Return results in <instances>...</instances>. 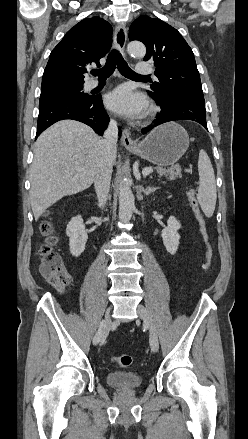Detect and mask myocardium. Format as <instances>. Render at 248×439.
Masks as SVG:
<instances>
[{
  "label": "myocardium",
  "instance_id": "myocardium-1",
  "mask_svg": "<svg viewBox=\"0 0 248 439\" xmlns=\"http://www.w3.org/2000/svg\"><path fill=\"white\" fill-rule=\"evenodd\" d=\"M153 112H154V109H151V110L149 111V115H152Z\"/></svg>",
  "mask_w": 248,
  "mask_h": 439
}]
</instances>
